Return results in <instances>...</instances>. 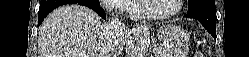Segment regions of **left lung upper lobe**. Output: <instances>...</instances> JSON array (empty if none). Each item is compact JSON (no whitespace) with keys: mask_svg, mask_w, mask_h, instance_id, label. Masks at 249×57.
I'll list each match as a JSON object with an SVG mask.
<instances>
[{"mask_svg":"<svg viewBox=\"0 0 249 57\" xmlns=\"http://www.w3.org/2000/svg\"><path fill=\"white\" fill-rule=\"evenodd\" d=\"M188 2H189L188 11L193 10L204 4H215V0H188Z\"/></svg>","mask_w":249,"mask_h":57,"instance_id":"1","label":"left lung upper lobe"}]
</instances>
